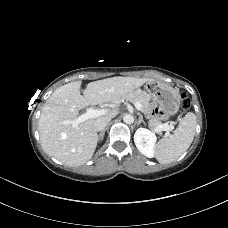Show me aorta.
Listing matches in <instances>:
<instances>
[{
  "instance_id": "aorta-1",
  "label": "aorta",
  "mask_w": 228,
  "mask_h": 228,
  "mask_svg": "<svg viewBox=\"0 0 228 228\" xmlns=\"http://www.w3.org/2000/svg\"><path fill=\"white\" fill-rule=\"evenodd\" d=\"M123 121L126 124H132L134 122V117L131 114H125L124 117H123Z\"/></svg>"
}]
</instances>
